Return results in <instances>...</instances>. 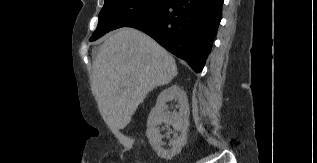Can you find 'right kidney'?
<instances>
[{
    "mask_svg": "<svg viewBox=\"0 0 317 163\" xmlns=\"http://www.w3.org/2000/svg\"><path fill=\"white\" fill-rule=\"evenodd\" d=\"M175 100L178 102V112L169 113L166 103ZM189 104L186 93L177 85L165 89L157 98L156 106L151 110L147 121V137L156 153L166 160H171L180 153L186 144L189 127ZM166 123L173 126V139L170 140L171 148L164 149L159 125Z\"/></svg>",
    "mask_w": 317,
    "mask_h": 163,
    "instance_id": "right-kidney-1",
    "label": "right kidney"
}]
</instances>
